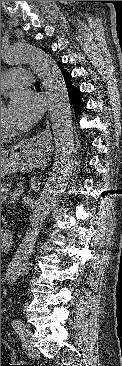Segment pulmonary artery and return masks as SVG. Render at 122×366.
Wrapping results in <instances>:
<instances>
[{
  "label": "pulmonary artery",
  "mask_w": 122,
  "mask_h": 366,
  "mask_svg": "<svg viewBox=\"0 0 122 366\" xmlns=\"http://www.w3.org/2000/svg\"><path fill=\"white\" fill-rule=\"evenodd\" d=\"M33 74L20 69H8L1 73V91L20 86H31Z\"/></svg>",
  "instance_id": "e3ab8cb5"
}]
</instances>
